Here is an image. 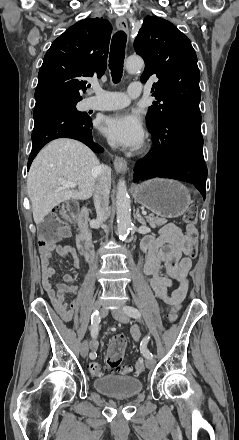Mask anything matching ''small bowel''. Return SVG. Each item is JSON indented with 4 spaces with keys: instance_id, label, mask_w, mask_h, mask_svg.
<instances>
[{
    "instance_id": "c3829d8e",
    "label": "small bowel",
    "mask_w": 239,
    "mask_h": 440,
    "mask_svg": "<svg viewBox=\"0 0 239 440\" xmlns=\"http://www.w3.org/2000/svg\"><path fill=\"white\" fill-rule=\"evenodd\" d=\"M192 247L193 242L190 238L174 224L164 225L157 236H146L141 243V250L145 255L143 271L147 282L157 297L172 306L174 312L180 308L188 290L187 276L192 266L190 254ZM53 252L63 259L71 258L77 269L80 268V261L71 246L53 243L47 247H40L42 285L57 312L65 321H70L77 302L66 303L65 295L78 292L77 279L65 274L63 282L53 284L52 279L56 273L51 265ZM163 269L166 271V276L161 274ZM169 289H172L171 295L168 294ZM132 333L135 339L139 338L138 328H134ZM90 345L96 349V339L91 340Z\"/></svg>"
}]
</instances>
